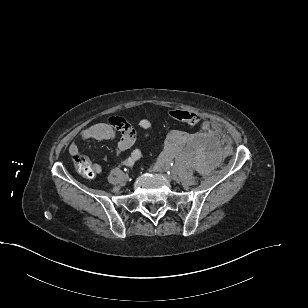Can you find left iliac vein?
Returning a JSON list of instances; mask_svg holds the SVG:
<instances>
[{
    "label": "left iliac vein",
    "mask_w": 308,
    "mask_h": 308,
    "mask_svg": "<svg viewBox=\"0 0 308 308\" xmlns=\"http://www.w3.org/2000/svg\"><path fill=\"white\" fill-rule=\"evenodd\" d=\"M154 170L159 173H162L168 181H172L174 179V176L167 174V169L160 164L155 165Z\"/></svg>",
    "instance_id": "left-iliac-vein-1"
}]
</instances>
